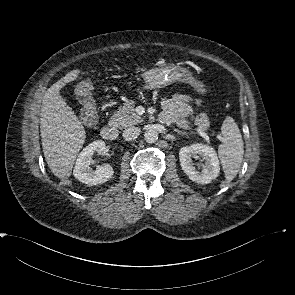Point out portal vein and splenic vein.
Listing matches in <instances>:
<instances>
[{
	"label": "portal vein and splenic vein",
	"mask_w": 295,
	"mask_h": 295,
	"mask_svg": "<svg viewBox=\"0 0 295 295\" xmlns=\"http://www.w3.org/2000/svg\"><path fill=\"white\" fill-rule=\"evenodd\" d=\"M196 131L202 138H204L205 140H209V136L204 131L199 128H197Z\"/></svg>",
	"instance_id": "portal-vein-and-splenic-vein-1"
}]
</instances>
